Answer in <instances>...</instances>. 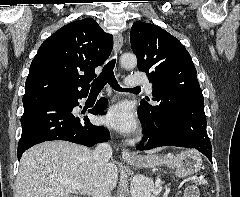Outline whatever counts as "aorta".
<instances>
[{"mask_svg":"<svg viewBox=\"0 0 240 197\" xmlns=\"http://www.w3.org/2000/svg\"><path fill=\"white\" fill-rule=\"evenodd\" d=\"M121 66L125 69H133L137 65V58L133 54H123L121 59ZM142 189L143 192L141 193L143 197L148 196V192L150 189V182L148 179L142 178L141 179ZM151 195V194H150ZM149 195V197H150Z\"/></svg>","mask_w":240,"mask_h":197,"instance_id":"aorta-1","label":"aorta"}]
</instances>
